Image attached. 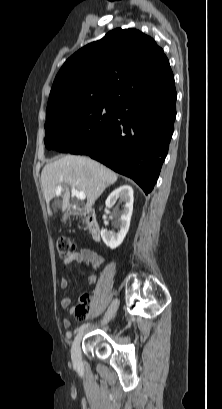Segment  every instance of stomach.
Instances as JSON below:
<instances>
[{"label": "stomach", "mask_w": 222, "mask_h": 409, "mask_svg": "<svg viewBox=\"0 0 222 409\" xmlns=\"http://www.w3.org/2000/svg\"><path fill=\"white\" fill-rule=\"evenodd\" d=\"M66 218H67V215H64V217H63L62 221H65V220H66Z\"/></svg>", "instance_id": "obj_1"}]
</instances>
